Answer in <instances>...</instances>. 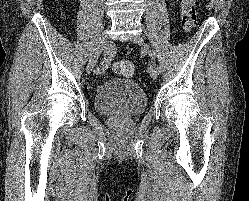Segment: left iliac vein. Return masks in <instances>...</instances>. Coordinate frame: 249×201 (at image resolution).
Segmentation results:
<instances>
[{
	"instance_id": "obj_1",
	"label": "left iliac vein",
	"mask_w": 249,
	"mask_h": 201,
	"mask_svg": "<svg viewBox=\"0 0 249 201\" xmlns=\"http://www.w3.org/2000/svg\"><path fill=\"white\" fill-rule=\"evenodd\" d=\"M132 41L136 44L142 45L144 43V37L142 34H137L132 38ZM149 74L153 79H156L159 75L157 67L154 65H150Z\"/></svg>"
}]
</instances>
